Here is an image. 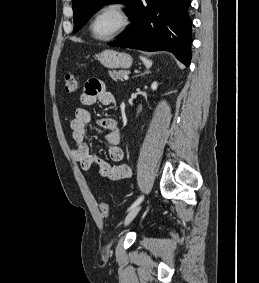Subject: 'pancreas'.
Masks as SVG:
<instances>
[{"label":"pancreas","mask_w":259,"mask_h":283,"mask_svg":"<svg viewBox=\"0 0 259 283\" xmlns=\"http://www.w3.org/2000/svg\"><path fill=\"white\" fill-rule=\"evenodd\" d=\"M127 74H128L127 71H113V72H110V77L114 81H117V80L123 81L124 76Z\"/></svg>","instance_id":"pancreas-1"}]
</instances>
